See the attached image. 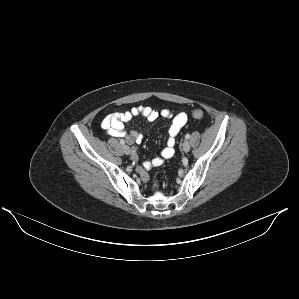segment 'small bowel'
<instances>
[{
	"instance_id": "obj_1",
	"label": "small bowel",
	"mask_w": 299,
	"mask_h": 299,
	"mask_svg": "<svg viewBox=\"0 0 299 299\" xmlns=\"http://www.w3.org/2000/svg\"><path fill=\"white\" fill-rule=\"evenodd\" d=\"M160 114L161 116L168 119L173 118L172 123L168 128V138L166 141V146L162 149L160 155L144 162L143 165L137 169V172L143 181L148 180L147 171L149 169H151L152 167L161 166L165 160L171 159L175 155L174 146L176 142V136L187 121V116L185 113H179L173 117V114L170 110L163 109ZM158 115V112L150 107L132 108L128 111L113 112L108 114L102 120L101 126L108 135L117 138H123L129 145L134 146L135 144L141 142L142 136L134 130H126L125 123L136 116H142L149 121H153L158 117ZM132 160H137L135 151H133Z\"/></svg>"
}]
</instances>
